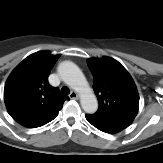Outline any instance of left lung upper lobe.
Masks as SVG:
<instances>
[{
  "mask_svg": "<svg viewBox=\"0 0 163 163\" xmlns=\"http://www.w3.org/2000/svg\"><path fill=\"white\" fill-rule=\"evenodd\" d=\"M94 78L93 89L99 108L92 117L132 122L137 115L139 96L127 70L115 59L104 56L87 61Z\"/></svg>",
  "mask_w": 163,
  "mask_h": 163,
  "instance_id": "5c2ea615",
  "label": "left lung upper lobe"
}]
</instances>
